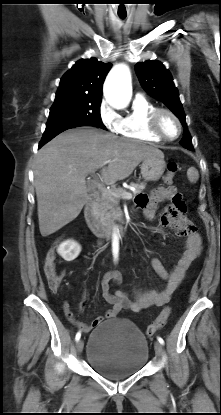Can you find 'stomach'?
Listing matches in <instances>:
<instances>
[{"mask_svg":"<svg viewBox=\"0 0 221 415\" xmlns=\"http://www.w3.org/2000/svg\"><path fill=\"white\" fill-rule=\"evenodd\" d=\"M164 155H152L145 158L140 166L142 177L146 181H158L165 171Z\"/></svg>","mask_w":221,"mask_h":415,"instance_id":"obj_1","label":"stomach"}]
</instances>
